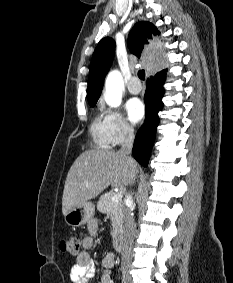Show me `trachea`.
Returning a JSON list of instances; mask_svg holds the SVG:
<instances>
[{
  "label": "trachea",
  "instance_id": "3493384b",
  "mask_svg": "<svg viewBox=\"0 0 233 283\" xmlns=\"http://www.w3.org/2000/svg\"><path fill=\"white\" fill-rule=\"evenodd\" d=\"M138 77H139L141 80H145V71H144V70H139V71H138Z\"/></svg>",
  "mask_w": 233,
  "mask_h": 283
}]
</instances>
